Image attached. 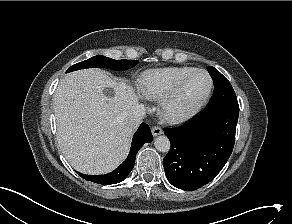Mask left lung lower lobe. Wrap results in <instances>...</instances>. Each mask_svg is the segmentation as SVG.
<instances>
[{"instance_id":"obj_1","label":"left lung lower lobe","mask_w":292,"mask_h":224,"mask_svg":"<svg viewBox=\"0 0 292 224\" xmlns=\"http://www.w3.org/2000/svg\"><path fill=\"white\" fill-rule=\"evenodd\" d=\"M239 116L237 99L205 108L192 121L165 129L171 149L163 159L168 181L195 190L214 179L229 159Z\"/></svg>"}]
</instances>
